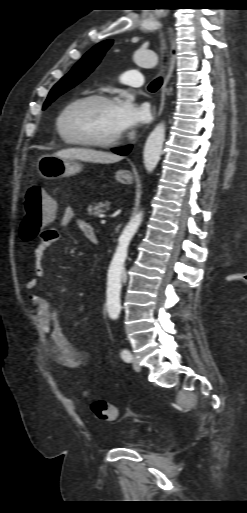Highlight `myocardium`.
<instances>
[{"instance_id": "myocardium-1", "label": "myocardium", "mask_w": 247, "mask_h": 513, "mask_svg": "<svg viewBox=\"0 0 247 513\" xmlns=\"http://www.w3.org/2000/svg\"><path fill=\"white\" fill-rule=\"evenodd\" d=\"M88 101H99L109 104H115V100L113 97L100 94V93H92L77 97L76 99L68 102L63 108L59 111L55 126L59 133V135L68 143L75 145H83V146H92V147H100L107 148L117 145L122 140V134H119L113 138L105 139V140H93V139H85V138H72L69 137L62 129V121L68 112V110L74 106L75 104L88 102Z\"/></svg>"}]
</instances>
